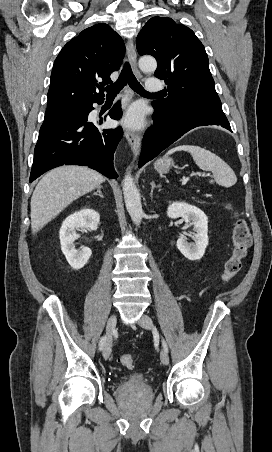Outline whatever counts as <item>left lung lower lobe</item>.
Segmentation results:
<instances>
[{"mask_svg": "<svg viewBox=\"0 0 272 452\" xmlns=\"http://www.w3.org/2000/svg\"><path fill=\"white\" fill-rule=\"evenodd\" d=\"M154 124L143 138L139 167L156 157L186 132L199 126L217 125L231 131L222 108H205L201 105L179 112H165L154 103Z\"/></svg>", "mask_w": 272, "mask_h": 452, "instance_id": "left-lung-lower-lobe-1", "label": "left lung lower lobe"}]
</instances>
